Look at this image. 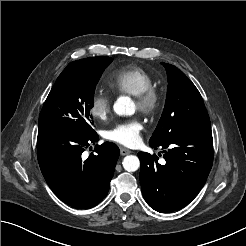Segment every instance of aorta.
I'll return each instance as SVG.
<instances>
[{"label":"aorta","instance_id":"aorta-1","mask_svg":"<svg viewBox=\"0 0 246 246\" xmlns=\"http://www.w3.org/2000/svg\"><path fill=\"white\" fill-rule=\"evenodd\" d=\"M114 112L119 116H131L135 113V104L131 98L121 96L113 106ZM122 165L128 172H134L140 167V161L137 156L129 155L123 159Z\"/></svg>","mask_w":246,"mask_h":246}]
</instances>
